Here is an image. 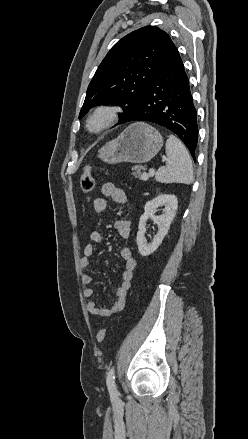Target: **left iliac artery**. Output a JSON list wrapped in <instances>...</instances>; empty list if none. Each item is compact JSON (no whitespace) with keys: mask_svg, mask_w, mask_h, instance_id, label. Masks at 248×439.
Listing matches in <instances>:
<instances>
[{"mask_svg":"<svg viewBox=\"0 0 248 439\" xmlns=\"http://www.w3.org/2000/svg\"><path fill=\"white\" fill-rule=\"evenodd\" d=\"M106 384H107L110 395L116 396L117 389H116V384H115V369H114V367H112L107 374Z\"/></svg>","mask_w":248,"mask_h":439,"instance_id":"1","label":"left iliac artery"}]
</instances>
